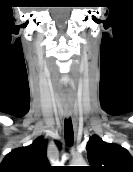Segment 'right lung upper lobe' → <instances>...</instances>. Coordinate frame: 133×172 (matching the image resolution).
<instances>
[{"label": "right lung upper lobe", "mask_w": 133, "mask_h": 172, "mask_svg": "<svg viewBox=\"0 0 133 172\" xmlns=\"http://www.w3.org/2000/svg\"><path fill=\"white\" fill-rule=\"evenodd\" d=\"M56 144L60 147L58 141ZM46 150L47 141L39 137L31 145L8 153L0 164V172H52Z\"/></svg>", "instance_id": "obj_1"}]
</instances>
